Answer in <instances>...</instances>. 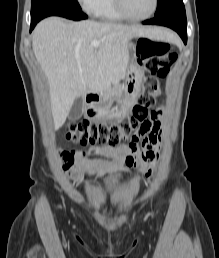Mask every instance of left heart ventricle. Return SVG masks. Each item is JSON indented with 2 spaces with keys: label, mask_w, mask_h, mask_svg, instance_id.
<instances>
[{
  "label": "left heart ventricle",
  "mask_w": 219,
  "mask_h": 258,
  "mask_svg": "<svg viewBox=\"0 0 219 258\" xmlns=\"http://www.w3.org/2000/svg\"><path fill=\"white\" fill-rule=\"evenodd\" d=\"M127 12L136 17L149 14L154 6V0H123Z\"/></svg>",
  "instance_id": "left-heart-ventricle-1"
}]
</instances>
